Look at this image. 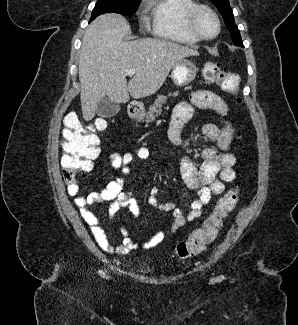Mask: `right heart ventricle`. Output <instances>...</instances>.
Returning a JSON list of instances; mask_svg holds the SVG:
<instances>
[{
    "label": "right heart ventricle",
    "instance_id": "e07e8e85",
    "mask_svg": "<svg viewBox=\"0 0 298 325\" xmlns=\"http://www.w3.org/2000/svg\"><path fill=\"white\" fill-rule=\"evenodd\" d=\"M197 4L190 0L150 1L145 13L151 25L150 37H166V41H180V46H195L200 42L184 27L185 15Z\"/></svg>",
    "mask_w": 298,
    "mask_h": 325
}]
</instances>
